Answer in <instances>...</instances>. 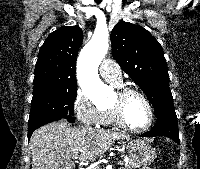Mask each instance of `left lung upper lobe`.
Returning a JSON list of instances; mask_svg holds the SVG:
<instances>
[{"label": "left lung upper lobe", "instance_id": "left-lung-upper-lobe-1", "mask_svg": "<svg viewBox=\"0 0 200 169\" xmlns=\"http://www.w3.org/2000/svg\"><path fill=\"white\" fill-rule=\"evenodd\" d=\"M110 39L113 57L147 95L156 117H175L166 59L155 37L141 26L121 21Z\"/></svg>", "mask_w": 200, "mask_h": 169}]
</instances>
